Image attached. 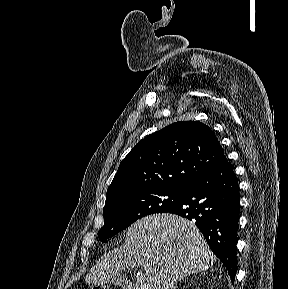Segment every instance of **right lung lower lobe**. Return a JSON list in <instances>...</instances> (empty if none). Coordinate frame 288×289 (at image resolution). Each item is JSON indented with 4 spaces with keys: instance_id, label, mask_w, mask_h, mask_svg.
I'll return each mask as SVG.
<instances>
[{
    "instance_id": "right-lung-lower-lobe-1",
    "label": "right lung lower lobe",
    "mask_w": 288,
    "mask_h": 289,
    "mask_svg": "<svg viewBox=\"0 0 288 289\" xmlns=\"http://www.w3.org/2000/svg\"><path fill=\"white\" fill-rule=\"evenodd\" d=\"M239 208L238 181L224 156L190 181L180 202L168 211L195 222L232 282L237 268Z\"/></svg>"
}]
</instances>
